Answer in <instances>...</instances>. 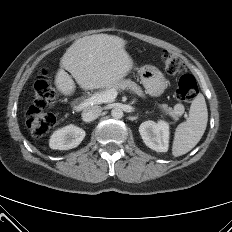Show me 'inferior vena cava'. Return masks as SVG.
<instances>
[{"label": "inferior vena cava", "instance_id": "obj_1", "mask_svg": "<svg viewBox=\"0 0 232 232\" xmlns=\"http://www.w3.org/2000/svg\"><path fill=\"white\" fill-rule=\"evenodd\" d=\"M102 108L100 106H92L86 108L82 113V119L85 122H91L101 115Z\"/></svg>", "mask_w": 232, "mask_h": 232}]
</instances>
